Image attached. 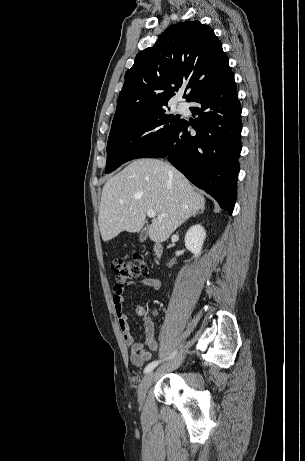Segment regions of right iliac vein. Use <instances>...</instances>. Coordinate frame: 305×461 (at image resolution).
Listing matches in <instances>:
<instances>
[{
  "label": "right iliac vein",
  "instance_id": "obj_1",
  "mask_svg": "<svg viewBox=\"0 0 305 461\" xmlns=\"http://www.w3.org/2000/svg\"><path fill=\"white\" fill-rule=\"evenodd\" d=\"M152 380H153V372H149L143 377L139 385V388H138V400L140 403H143L146 392L148 388L150 387Z\"/></svg>",
  "mask_w": 305,
  "mask_h": 461
}]
</instances>
